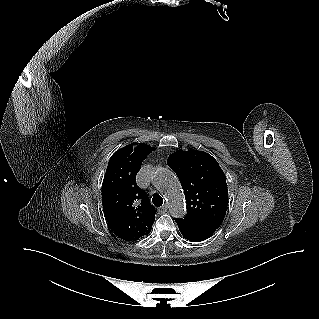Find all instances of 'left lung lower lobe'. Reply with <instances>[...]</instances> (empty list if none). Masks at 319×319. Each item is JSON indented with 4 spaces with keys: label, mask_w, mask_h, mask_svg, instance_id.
<instances>
[{
    "label": "left lung lower lobe",
    "mask_w": 319,
    "mask_h": 319,
    "mask_svg": "<svg viewBox=\"0 0 319 319\" xmlns=\"http://www.w3.org/2000/svg\"><path fill=\"white\" fill-rule=\"evenodd\" d=\"M181 234L191 242H201L208 239L215 231V228L197 225L184 219H177Z\"/></svg>",
    "instance_id": "0a47b994"
}]
</instances>
